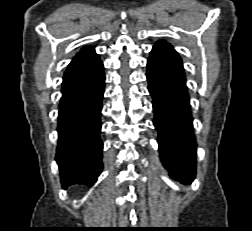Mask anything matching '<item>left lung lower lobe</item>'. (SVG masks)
Returning <instances> with one entry per match:
<instances>
[{
  "label": "left lung lower lobe",
  "mask_w": 252,
  "mask_h": 231,
  "mask_svg": "<svg viewBox=\"0 0 252 231\" xmlns=\"http://www.w3.org/2000/svg\"><path fill=\"white\" fill-rule=\"evenodd\" d=\"M147 80L161 161L172 178L192 181L196 175V140L185 73L181 57L164 40L153 46Z\"/></svg>",
  "instance_id": "0a47b994"
}]
</instances>
